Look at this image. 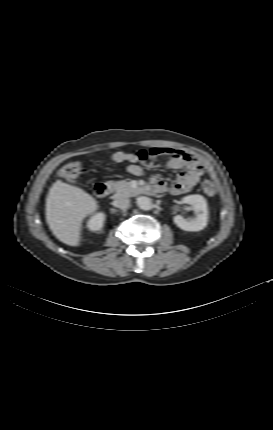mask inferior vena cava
<instances>
[{"mask_svg": "<svg viewBox=\"0 0 273 430\" xmlns=\"http://www.w3.org/2000/svg\"><path fill=\"white\" fill-rule=\"evenodd\" d=\"M130 205V200L128 198H120L115 201V206L121 209L127 208Z\"/></svg>", "mask_w": 273, "mask_h": 430, "instance_id": "1", "label": "inferior vena cava"}]
</instances>
